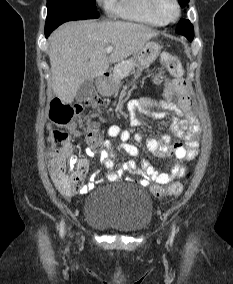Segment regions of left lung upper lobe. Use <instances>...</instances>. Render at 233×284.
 <instances>
[{
    "label": "left lung upper lobe",
    "mask_w": 233,
    "mask_h": 284,
    "mask_svg": "<svg viewBox=\"0 0 233 284\" xmlns=\"http://www.w3.org/2000/svg\"><path fill=\"white\" fill-rule=\"evenodd\" d=\"M181 7L188 5L189 0H178ZM177 33L184 35L188 40L192 41L194 37L193 25L189 20L181 19L177 26Z\"/></svg>",
    "instance_id": "obj_1"
}]
</instances>
